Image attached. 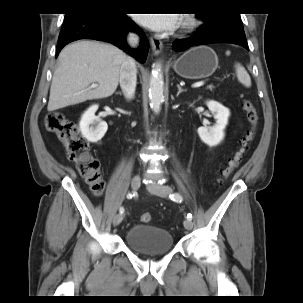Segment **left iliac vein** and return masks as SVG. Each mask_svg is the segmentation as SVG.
<instances>
[{
  "instance_id": "1",
  "label": "left iliac vein",
  "mask_w": 303,
  "mask_h": 303,
  "mask_svg": "<svg viewBox=\"0 0 303 303\" xmlns=\"http://www.w3.org/2000/svg\"><path fill=\"white\" fill-rule=\"evenodd\" d=\"M147 189L151 193L156 194L160 197H166L167 195L172 193L171 187H169L167 185L157 184V183L148 184ZM183 224H184L185 229H187V230H191L193 227L192 220H190V219L184 220Z\"/></svg>"
}]
</instances>
